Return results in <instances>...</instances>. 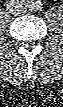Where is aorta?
<instances>
[{
  "instance_id": "obj_1",
  "label": "aorta",
  "mask_w": 63,
  "mask_h": 107,
  "mask_svg": "<svg viewBox=\"0 0 63 107\" xmlns=\"http://www.w3.org/2000/svg\"><path fill=\"white\" fill-rule=\"evenodd\" d=\"M40 6V2L37 0H32L29 2V7L32 9H38Z\"/></svg>"
}]
</instances>
